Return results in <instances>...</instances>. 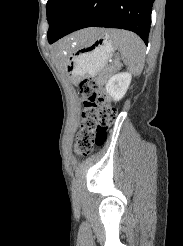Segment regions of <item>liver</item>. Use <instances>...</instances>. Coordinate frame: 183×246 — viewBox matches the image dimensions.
<instances>
[{"label":"liver","mask_w":183,"mask_h":246,"mask_svg":"<svg viewBox=\"0 0 183 246\" xmlns=\"http://www.w3.org/2000/svg\"><path fill=\"white\" fill-rule=\"evenodd\" d=\"M102 29L90 28L79 31L72 36L66 38L64 41L58 44L59 55L64 57V51L76 44H83L89 40H92L102 33Z\"/></svg>","instance_id":"liver-1"}]
</instances>
